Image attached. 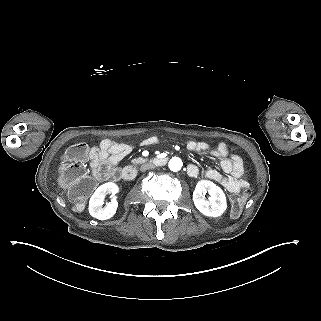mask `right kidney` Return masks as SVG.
Returning <instances> with one entry per match:
<instances>
[{
  "mask_svg": "<svg viewBox=\"0 0 321 321\" xmlns=\"http://www.w3.org/2000/svg\"><path fill=\"white\" fill-rule=\"evenodd\" d=\"M118 187L115 183L108 182L99 186L89 201V213L98 220H107L112 218L117 212V201L113 200L106 203L103 207L104 200L108 194H116Z\"/></svg>",
  "mask_w": 321,
  "mask_h": 321,
  "instance_id": "obj_1",
  "label": "right kidney"
}]
</instances>
